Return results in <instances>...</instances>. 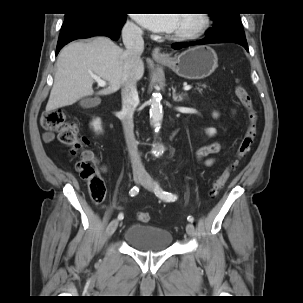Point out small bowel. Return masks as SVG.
<instances>
[{
    "instance_id": "small-bowel-1",
    "label": "small bowel",
    "mask_w": 303,
    "mask_h": 303,
    "mask_svg": "<svg viewBox=\"0 0 303 303\" xmlns=\"http://www.w3.org/2000/svg\"><path fill=\"white\" fill-rule=\"evenodd\" d=\"M44 140L46 143H49L54 138V133L51 131H46L43 134ZM223 149V145L220 142H212L208 145L200 147L196 151V156L199 160L203 162L205 166H212L216 163L217 159L212 155L219 153ZM101 170L103 172L107 171V167L105 165L101 166Z\"/></svg>"
}]
</instances>
